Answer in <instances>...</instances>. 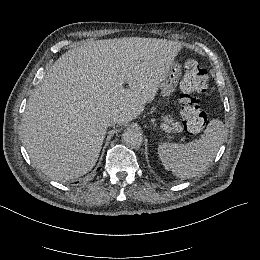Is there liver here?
Masks as SVG:
<instances>
[{"label": "liver", "mask_w": 260, "mask_h": 260, "mask_svg": "<svg viewBox=\"0 0 260 260\" xmlns=\"http://www.w3.org/2000/svg\"><path fill=\"white\" fill-rule=\"evenodd\" d=\"M181 48L135 37L88 41L67 51L26 104L20 131L32 163L57 181L92 170L107 116L116 115L119 126L136 119L154 101Z\"/></svg>", "instance_id": "1"}]
</instances>
